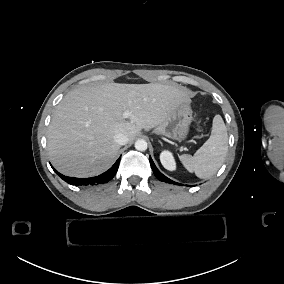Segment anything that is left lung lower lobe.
I'll return each mask as SVG.
<instances>
[{
	"mask_svg": "<svg viewBox=\"0 0 284 284\" xmlns=\"http://www.w3.org/2000/svg\"><path fill=\"white\" fill-rule=\"evenodd\" d=\"M150 160V164H151V168L154 172V175L157 177V179H159L160 181H164V182H167V183H173V184H176L174 181H172L171 179L167 178L166 176H164L158 169L157 167L155 166L152 158L150 157L149 158Z\"/></svg>",
	"mask_w": 284,
	"mask_h": 284,
	"instance_id": "left-lung-lower-lobe-1",
	"label": "left lung lower lobe"
}]
</instances>
